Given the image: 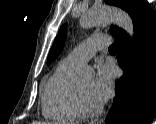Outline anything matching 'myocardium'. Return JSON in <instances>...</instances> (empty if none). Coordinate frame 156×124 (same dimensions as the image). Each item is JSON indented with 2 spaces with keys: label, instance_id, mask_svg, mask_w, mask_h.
<instances>
[{
  "label": "myocardium",
  "instance_id": "1",
  "mask_svg": "<svg viewBox=\"0 0 156 124\" xmlns=\"http://www.w3.org/2000/svg\"><path fill=\"white\" fill-rule=\"evenodd\" d=\"M75 93H76L78 107L83 116L93 117L98 115L102 111L103 109L102 105H98L96 107H91L88 105L78 84L75 85Z\"/></svg>",
  "mask_w": 156,
  "mask_h": 124
}]
</instances>
